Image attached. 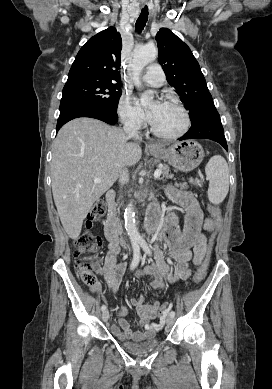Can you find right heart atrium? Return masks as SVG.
I'll use <instances>...</instances> for the list:
<instances>
[{
	"label": "right heart atrium",
	"instance_id": "right-heart-atrium-1",
	"mask_svg": "<svg viewBox=\"0 0 272 389\" xmlns=\"http://www.w3.org/2000/svg\"><path fill=\"white\" fill-rule=\"evenodd\" d=\"M118 114L124 125L139 130L145 124L143 111L134 103L131 96L123 93L118 102Z\"/></svg>",
	"mask_w": 272,
	"mask_h": 389
}]
</instances>
